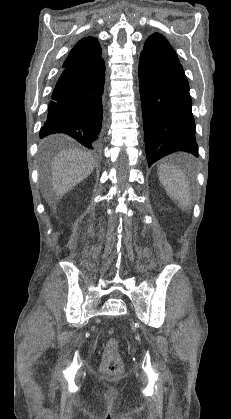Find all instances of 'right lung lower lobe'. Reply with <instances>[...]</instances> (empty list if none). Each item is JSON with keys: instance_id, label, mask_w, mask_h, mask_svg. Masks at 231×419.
I'll list each match as a JSON object with an SVG mask.
<instances>
[{"instance_id": "obj_1", "label": "right lung lower lobe", "mask_w": 231, "mask_h": 419, "mask_svg": "<svg viewBox=\"0 0 231 419\" xmlns=\"http://www.w3.org/2000/svg\"><path fill=\"white\" fill-rule=\"evenodd\" d=\"M105 63L101 58L63 66L53 90L40 138L65 134L83 146L98 151L105 82Z\"/></svg>"}]
</instances>
